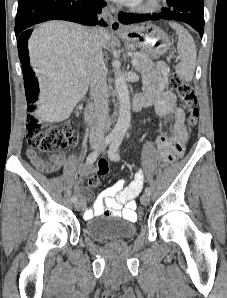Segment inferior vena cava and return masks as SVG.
Segmentation results:
<instances>
[{
  "mask_svg": "<svg viewBox=\"0 0 227 298\" xmlns=\"http://www.w3.org/2000/svg\"><path fill=\"white\" fill-rule=\"evenodd\" d=\"M87 71L90 77V93L95 106V124L90 129V140H104L106 121L108 118V87L106 67L103 60L101 43L95 32L87 33L86 47Z\"/></svg>",
  "mask_w": 227,
  "mask_h": 298,
  "instance_id": "inferior-vena-cava-1",
  "label": "inferior vena cava"
}]
</instances>
